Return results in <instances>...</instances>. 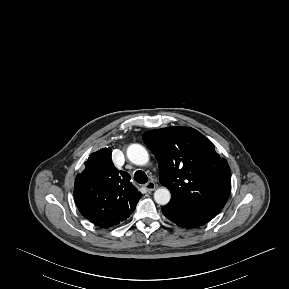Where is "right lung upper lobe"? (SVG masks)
I'll return each mask as SVG.
<instances>
[{
  "label": "right lung upper lobe",
  "instance_id": "cb5924a9",
  "mask_svg": "<svg viewBox=\"0 0 289 289\" xmlns=\"http://www.w3.org/2000/svg\"><path fill=\"white\" fill-rule=\"evenodd\" d=\"M111 148L91 154L74 185V201L89 221H105L127 209H134L142 197L130 182V175L118 171Z\"/></svg>",
  "mask_w": 289,
  "mask_h": 289
}]
</instances>
